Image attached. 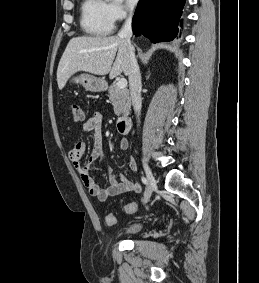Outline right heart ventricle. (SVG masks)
Segmentation results:
<instances>
[{"label": "right heart ventricle", "mask_w": 259, "mask_h": 283, "mask_svg": "<svg viewBox=\"0 0 259 283\" xmlns=\"http://www.w3.org/2000/svg\"><path fill=\"white\" fill-rule=\"evenodd\" d=\"M81 26L92 36L105 37L114 29L107 0H84L81 6Z\"/></svg>", "instance_id": "right-heart-ventricle-1"}]
</instances>
